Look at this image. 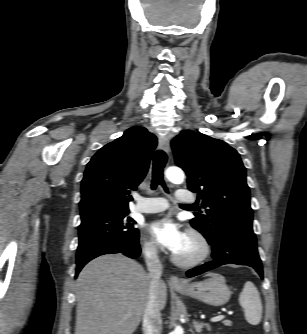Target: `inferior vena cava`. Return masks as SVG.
I'll return each instance as SVG.
<instances>
[{
  "label": "inferior vena cava",
  "mask_w": 307,
  "mask_h": 334,
  "mask_svg": "<svg viewBox=\"0 0 307 334\" xmlns=\"http://www.w3.org/2000/svg\"><path fill=\"white\" fill-rule=\"evenodd\" d=\"M145 259L151 283L143 315V331L144 334H155L162 328V318L157 297L163 267L155 246H149L145 249Z\"/></svg>",
  "instance_id": "602c4592"
}]
</instances>
